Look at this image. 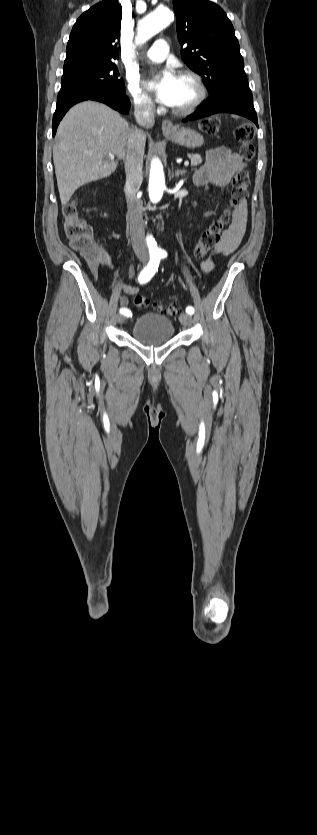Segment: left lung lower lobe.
Segmentation results:
<instances>
[{
  "label": "left lung lower lobe",
  "instance_id": "1",
  "mask_svg": "<svg viewBox=\"0 0 317 835\" xmlns=\"http://www.w3.org/2000/svg\"><path fill=\"white\" fill-rule=\"evenodd\" d=\"M216 113H232L246 117L258 127L257 115L253 105V96L249 88H233L219 101H204L184 122L200 119Z\"/></svg>",
  "mask_w": 317,
  "mask_h": 835
}]
</instances>
